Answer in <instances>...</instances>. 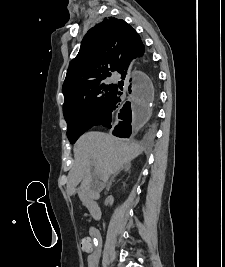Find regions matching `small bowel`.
Masks as SVG:
<instances>
[{
	"label": "small bowel",
	"instance_id": "1",
	"mask_svg": "<svg viewBox=\"0 0 225 267\" xmlns=\"http://www.w3.org/2000/svg\"><path fill=\"white\" fill-rule=\"evenodd\" d=\"M92 238L94 239L95 247L93 246V249L90 252H87L88 255V267H95L98 258H99V253L96 250V245L100 242V234L96 229H91L90 231Z\"/></svg>",
	"mask_w": 225,
	"mask_h": 267
}]
</instances>
